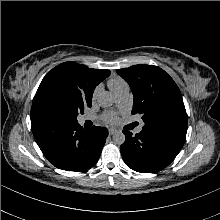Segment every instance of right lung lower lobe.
<instances>
[{
  "label": "right lung lower lobe",
  "mask_w": 220,
  "mask_h": 220,
  "mask_svg": "<svg viewBox=\"0 0 220 220\" xmlns=\"http://www.w3.org/2000/svg\"><path fill=\"white\" fill-rule=\"evenodd\" d=\"M32 132L42 153L55 167L75 172L96 164L108 136L107 128L84 129L78 122H40L32 125Z\"/></svg>",
  "instance_id": "1"
}]
</instances>
